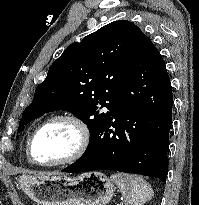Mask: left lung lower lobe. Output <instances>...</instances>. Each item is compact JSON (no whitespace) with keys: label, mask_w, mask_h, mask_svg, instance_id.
<instances>
[{"label":"left lung lower lobe","mask_w":199,"mask_h":205,"mask_svg":"<svg viewBox=\"0 0 199 205\" xmlns=\"http://www.w3.org/2000/svg\"><path fill=\"white\" fill-rule=\"evenodd\" d=\"M172 105L165 63L145 35L108 120L87 152L63 172L114 170L165 181Z\"/></svg>","instance_id":"1"}]
</instances>
